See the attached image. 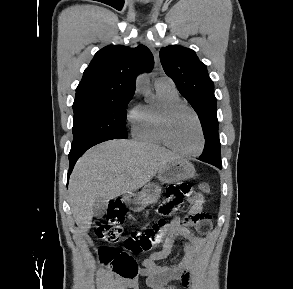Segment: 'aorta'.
<instances>
[{"label": "aorta", "mask_w": 293, "mask_h": 289, "mask_svg": "<svg viewBox=\"0 0 293 289\" xmlns=\"http://www.w3.org/2000/svg\"><path fill=\"white\" fill-rule=\"evenodd\" d=\"M136 85L141 90H147L150 85L149 77L146 74H142L137 78Z\"/></svg>", "instance_id": "aorta-1"}]
</instances>
